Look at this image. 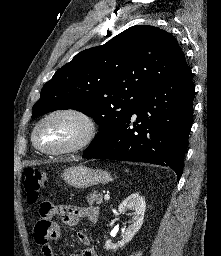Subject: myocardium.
Returning <instances> with one entry per match:
<instances>
[{"label":"myocardium","instance_id":"f54148a6","mask_svg":"<svg viewBox=\"0 0 221 256\" xmlns=\"http://www.w3.org/2000/svg\"><path fill=\"white\" fill-rule=\"evenodd\" d=\"M58 116H70L79 120L83 127L82 133L75 142L67 146L60 147V148H52V149L45 148L41 146L37 141L38 131L45 122ZM97 134H98V125L92 115H90L88 112L80 108L62 107V108H57L50 111L37 122L32 132V142L38 150H40L45 154L63 155V154L77 152L79 150L86 148L94 141Z\"/></svg>","mask_w":221,"mask_h":256}]
</instances>
